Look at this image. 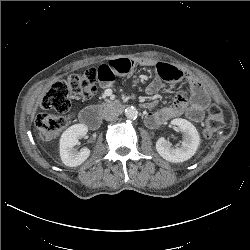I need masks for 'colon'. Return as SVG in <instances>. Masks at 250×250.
<instances>
[{
    "label": "colon",
    "instance_id": "obj_1",
    "mask_svg": "<svg viewBox=\"0 0 250 250\" xmlns=\"http://www.w3.org/2000/svg\"><path fill=\"white\" fill-rule=\"evenodd\" d=\"M98 71L94 68L82 73L69 76L67 79L56 81L43 97L41 106L44 109L35 120L41 137L45 141L55 139L67 124V119L59 115H52L48 110L64 114L70 110L71 98L81 96L89 99L97 91ZM224 126V117L217 105H211L208 116L203 124V135L207 138L221 130Z\"/></svg>",
    "mask_w": 250,
    "mask_h": 250
}]
</instances>
